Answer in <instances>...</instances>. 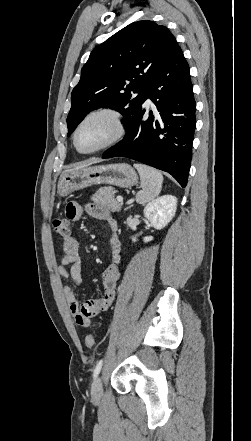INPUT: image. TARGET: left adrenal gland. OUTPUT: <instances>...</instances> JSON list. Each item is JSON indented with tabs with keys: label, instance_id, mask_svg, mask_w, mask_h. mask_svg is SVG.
I'll return each mask as SVG.
<instances>
[{
	"label": "left adrenal gland",
	"instance_id": "left-adrenal-gland-1",
	"mask_svg": "<svg viewBox=\"0 0 251 441\" xmlns=\"http://www.w3.org/2000/svg\"><path fill=\"white\" fill-rule=\"evenodd\" d=\"M130 207H131V206L127 207L126 210L129 209Z\"/></svg>",
	"mask_w": 251,
	"mask_h": 441
}]
</instances>
